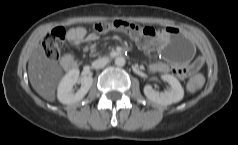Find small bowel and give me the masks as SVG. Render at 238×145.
Masks as SVG:
<instances>
[{
    "mask_svg": "<svg viewBox=\"0 0 238 145\" xmlns=\"http://www.w3.org/2000/svg\"><path fill=\"white\" fill-rule=\"evenodd\" d=\"M167 33H173V28H167L165 30ZM69 39L72 42H77L81 39H85L88 41H93L97 39V36L94 34L86 35L84 30L81 28L73 29L69 32ZM203 65V61L201 58H195L190 60L189 62L183 63L180 66L177 67H171L169 64L162 62V61H156L153 62L149 69L152 72H168L172 71L174 74H177L180 77H186L188 75L194 74L197 72Z\"/></svg>",
    "mask_w": 238,
    "mask_h": 145,
    "instance_id": "small-bowel-1",
    "label": "small bowel"
}]
</instances>
